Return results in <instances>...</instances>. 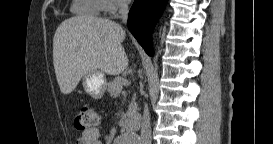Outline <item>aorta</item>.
<instances>
[{
	"mask_svg": "<svg viewBox=\"0 0 273 144\" xmlns=\"http://www.w3.org/2000/svg\"><path fill=\"white\" fill-rule=\"evenodd\" d=\"M120 144H136L137 138L133 134H126L120 138Z\"/></svg>",
	"mask_w": 273,
	"mask_h": 144,
	"instance_id": "obj_1",
	"label": "aorta"
}]
</instances>
